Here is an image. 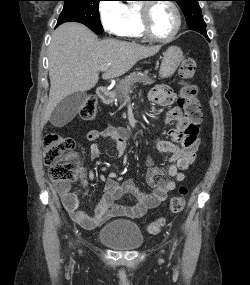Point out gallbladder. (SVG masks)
I'll list each match as a JSON object with an SVG mask.
<instances>
[{"instance_id":"bac80fb5","label":"gallbladder","mask_w":250,"mask_h":285,"mask_svg":"<svg viewBox=\"0 0 250 285\" xmlns=\"http://www.w3.org/2000/svg\"><path fill=\"white\" fill-rule=\"evenodd\" d=\"M86 98L87 94L84 92H76L64 98L54 108L50 116L51 124L62 127L71 122L86 104Z\"/></svg>"}]
</instances>
